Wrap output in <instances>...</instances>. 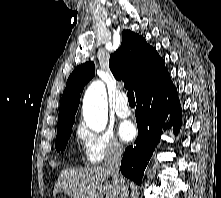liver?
Listing matches in <instances>:
<instances>
[{"label": "liver", "instance_id": "1", "mask_svg": "<svg viewBox=\"0 0 221 198\" xmlns=\"http://www.w3.org/2000/svg\"><path fill=\"white\" fill-rule=\"evenodd\" d=\"M110 176L103 166L66 169L61 172L53 195L63 192L71 198H127L128 187L125 190L114 179L109 180Z\"/></svg>", "mask_w": 221, "mask_h": 198}]
</instances>
